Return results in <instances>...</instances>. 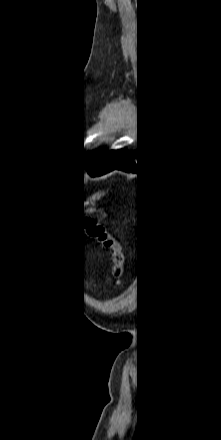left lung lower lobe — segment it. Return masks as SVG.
<instances>
[{
  "instance_id": "left-lung-lower-lobe-1",
  "label": "left lung lower lobe",
  "mask_w": 221,
  "mask_h": 440,
  "mask_svg": "<svg viewBox=\"0 0 221 440\" xmlns=\"http://www.w3.org/2000/svg\"><path fill=\"white\" fill-rule=\"evenodd\" d=\"M146 168V163L141 157L139 150L137 153L133 149H129L127 154L117 163L111 165L108 168L97 171L98 176L106 174L113 170H122L125 172H137L138 176L143 174Z\"/></svg>"
}]
</instances>
